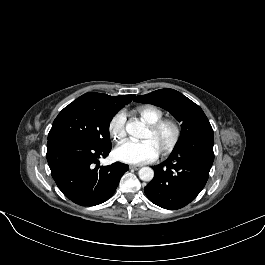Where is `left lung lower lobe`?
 <instances>
[{
  "label": "left lung lower lobe",
  "instance_id": "left-lung-lower-lobe-1",
  "mask_svg": "<svg viewBox=\"0 0 265 265\" xmlns=\"http://www.w3.org/2000/svg\"><path fill=\"white\" fill-rule=\"evenodd\" d=\"M213 130L194 134L176 146L166 161L153 166L155 176L144 188L154 204L169 210L192 202L204 188L214 161Z\"/></svg>",
  "mask_w": 265,
  "mask_h": 265
}]
</instances>
